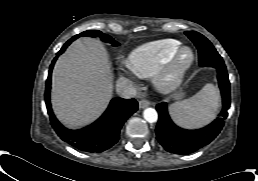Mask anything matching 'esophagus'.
<instances>
[{
  "label": "esophagus",
  "instance_id": "esophagus-1",
  "mask_svg": "<svg viewBox=\"0 0 258 181\" xmlns=\"http://www.w3.org/2000/svg\"><path fill=\"white\" fill-rule=\"evenodd\" d=\"M150 105V102L146 99H142L139 101V108L143 109Z\"/></svg>",
  "mask_w": 258,
  "mask_h": 181
}]
</instances>
